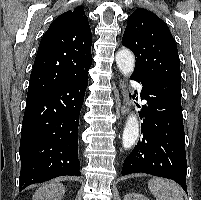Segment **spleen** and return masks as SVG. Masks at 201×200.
Wrapping results in <instances>:
<instances>
[{
	"label": "spleen",
	"mask_w": 201,
	"mask_h": 200,
	"mask_svg": "<svg viewBox=\"0 0 201 200\" xmlns=\"http://www.w3.org/2000/svg\"><path fill=\"white\" fill-rule=\"evenodd\" d=\"M148 188L156 200H183L180 187L172 181L153 178L148 182Z\"/></svg>",
	"instance_id": "1"
}]
</instances>
